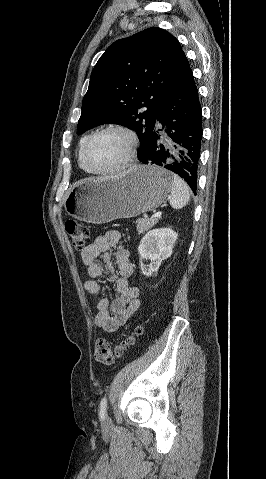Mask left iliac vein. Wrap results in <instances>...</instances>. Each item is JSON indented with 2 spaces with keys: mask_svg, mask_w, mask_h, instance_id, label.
<instances>
[{
  "mask_svg": "<svg viewBox=\"0 0 266 479\" xmlns=\"http://www.w3.org/2000/svg\"><path fill=\"white\" fill-rule=\"evenodd\" d=\"M104 425L105 426H110L111 425V420L109 419L108 416H106L105 419H104Z\"/></svg>",
  "mask_w": 266,
  "mask_h": 479,
  "instance_id": "left-iliac-vein-1",
  "label": "left iliac vein"
}]
</instances>
